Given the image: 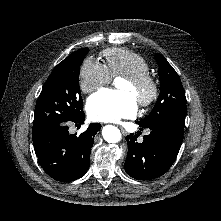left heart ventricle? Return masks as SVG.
Segmentation results:
<instances>
[{
  "label": "left heart ventricle",
  "mask_w": 221,
  "mask_h": 221,
  "mask_svg": "<svg viewBox=\"0 0 221 221\" xmlns=\"http://www.w3.org/2000/svg\"><path fill=\"white\" fill-rule=\"evenodd\" d=\"M116 87L118 90L126 91L131 93L134 98L138 101L139 97L143 94L142 91L133 87L130 83H128L125 79H119L116 82Z\"/></svg>",
  "instance_id": "left-heart-ventricle-1"
}]
</instances>
